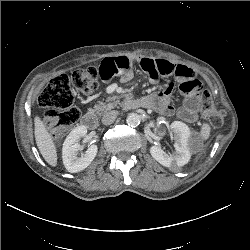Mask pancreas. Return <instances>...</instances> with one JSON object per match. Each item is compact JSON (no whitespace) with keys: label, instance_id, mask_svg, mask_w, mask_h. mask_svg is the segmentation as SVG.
I'll return each mask as SVG.
<instances>
[{"label":"pancreas","instance_id":"obj_1","mask_svg":"<svg viewBox=\"0 0 250 250\" xmlns=\"http://www.w3.org/2000/svg\"><path fill=\"white\" fill-rule=\"evenodd\" d=\"M117 106V101L114 99L106 103H100L98 105H95L92 111L96 112L98 115H102L104 112H107Z\"/></svg>","mask_w":250,"mask_h":250}]
</instances>
